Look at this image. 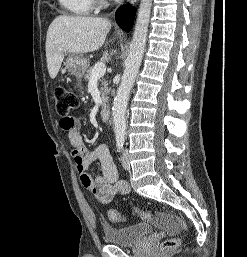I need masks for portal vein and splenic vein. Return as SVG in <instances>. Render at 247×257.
Instances as JSON below:
<instances>
[{"mask_svg": "<svg viewBox=\"0 0 247 257\" xmlns=\"http://www.w3.org/2000/svg\"><path fill=\"white\" fill-rule=\"evenodd\" d=\"M105 72H106L105 64L104 63H96L92 70L90 81L101 78L102 76L105 75Z\"/></svg>", "mask_w": 247, "mask_h": 257, "instance_id": "18ae733b", "label": "portal vein and splenic vein"}]
</instances>
